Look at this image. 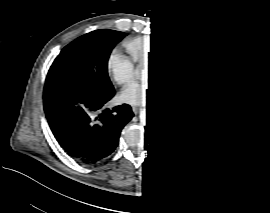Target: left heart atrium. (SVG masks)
Returning <instances> with one entry per match:
<instances>
[{
	"instance_id": "1",
	"label": "left heart atrium",
	"mask_w": 270,
	"mask_h": 213,
	"mask_svg": "<svg viewBox=\"0 0 270 213\" xmlns=\"http://www.w3.org/2000/svg\"><path fill=\"white\" fill-rule=\"evenodd\" d=\"M150 83L143 84L141 82H133L126 87L124 96L127 100H138L142 91L149 90ZM145 100V99H144Z\"/></svg>"
}]
</instances>
